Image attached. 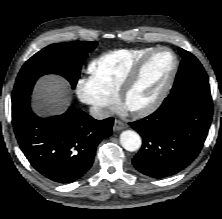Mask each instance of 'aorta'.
Returning <instances> with one entry per match:
<instances>
[{
  "label": "aorta",
  "mask_w": 222,
  "mask_h": 219,
  "mask_svg": "<svg viewBox=\"0 0 222 219\" xmlns=\"http://www.w3.org/2000/svg\"><path fill=\"white\" fill-rule=\"evenodd\" d=\"M120 143L125 150L133 152L141 147L142 141L137 132L125 130L120 135Z\"/></svg>",
  "instance_id": "aorta-1"
}]
</instances>
